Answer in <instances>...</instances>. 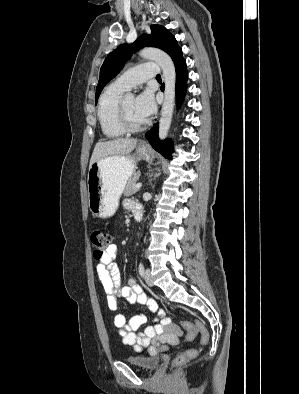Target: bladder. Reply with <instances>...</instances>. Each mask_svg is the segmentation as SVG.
<instances>
[{
    "mask_svg": "<svg viewBox=\"0 0 299 394\" xmlns=\"http://www.w3.org/2000/svg\"><path fill=\"white\" fill-rule=\"evenodd\" d=\"M125 361L140 369L151 371L154 370L160 363L161 357L159 356H145V355H132L126 357Z\"/></svg>",
    "mask_w": 299,
    "mask_h": 394,
    "instance_id": "obj_1",
    "label": "bladder"
}]
</instances>
